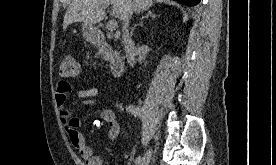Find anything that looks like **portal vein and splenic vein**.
Listing matches in <instances>:
<instances>
[{"instance_id":"18ae733b","label":"portal vein and splenic vein","mask_w":276,"mask_h":165,"mask_svg":"<svg viewBox=\"0 0 276 165\" xmlns=\"http://www.w3.org/2000/svg\"><path fill=\"white\" fill-rule=\"evenodd\" d=\"M117 26H118V23L114 19L110 20L106 25V27L109 31L115 30L117 28Z\"/></svg>"}]
</instances>
